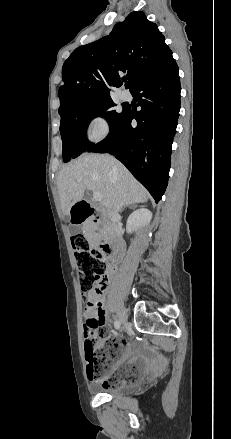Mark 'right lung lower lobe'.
Here are the masks:
<instances>
[{
    "instance_id": "98d812e1",
    "label": "right lung lower lobe",
    "mask_w": 231,
    "mask_h": 439,
    "mask_svg": "<svg viewBox=\"0 0 231 439\" xmlns=\"http://www.w3.org/2000/svg\"><path fill=\"white\" fill-rule=\"evenodd\" d=\"M178 66L171 57L159 70L139 81L131 94L141 110L126 107L108 136L87 149L120 160L157 203L168 184L170 156L180 110ZM136 119L137 125L131 124Z\"/></svg>"
}]
</instances>
